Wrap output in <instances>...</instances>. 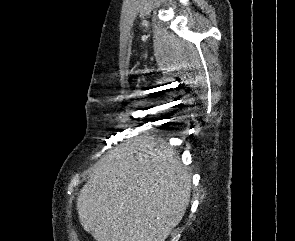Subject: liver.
I'll list each match as a JSON object with an SVG mask.
<instances>
[{
    "label": "liver",
    "instance_id": "liver-1",
    "mask_svg": "<svg viewBox=\"0 0 295 241\" xmlns=\"http://www.w3.org/2000/svg\"><path fill=\"white\" fill-rule=\"evenodd\" d=\"M191 174L172 147L140 136L95 165L77 198L96 241H165L190 201Z\"/></svg>",
    "mask_w": 295,
    "mask_h": 241
}]
</instances>
